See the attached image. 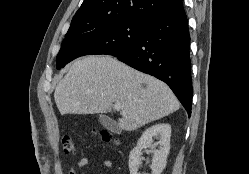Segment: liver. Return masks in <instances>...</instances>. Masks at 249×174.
I'll list each match as a JSON object with an SVG mask.
<instances>
[{
	"mask_svg": "<svg viewBox=\"0 0 249 174\" xmlns=\"http://www.w3.org/2000/svg\"><path fill=\"white\" fill-rule=\"evenodd\" d=\"M54 98L62 115L124 112L118 125L134 131L180 107L162 81L137 71L110 56H87L75 61L57 85Z\"/></svg>",
	"mask_w": 249,
	"mask_h": 174,
	"instance_id": "6515ba94",
	"label": "liver"
}]
</instances>
